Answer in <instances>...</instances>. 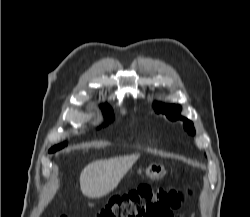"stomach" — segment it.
<instances>
[{
  "instance_id": "stomach-1",
  "label": "stomach",
  "mask_w": 250,
  "mask_h": 217,
  "mask_svg": "<svg viewBox=\"0 0 250 217\" xmlns=\"http://www.w3.org/2000/svg\"><path fill=\"white\" fill-rule=\"evenodd\" d=\"M144 174L150 179H158L164 174V167L158 164H151Z\"/></svg>"
}]
</instances>
